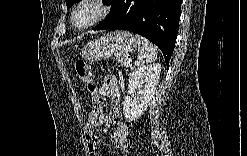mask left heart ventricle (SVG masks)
Listing matches in <instances>:
<instances>
[{"label": "left heart ventricle", "instance_id": "1", "mask_svg": "<svg viewBox=\"0 0 247 156\" xmlns=\"http://www.w3.org/2000/svg\"><path fill=\"white\" fill-rule=\"evenodd\" d=\"M97 13V9L94 6H83L81 7L76 16L75 22L77 25H82L90 21Z\"/></svg>", "mask_w": 247, "mask_h": 156}]
</instances>
